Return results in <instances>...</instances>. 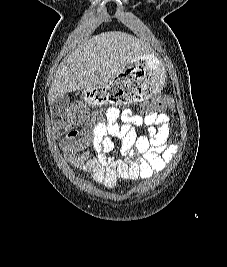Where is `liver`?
I'll return each mask as SVG.
<instances>
[{
  "instance_id": "liver-1",
  "label": "liver",
  "mask_w": 227,
  "mask_h": 267,
  "mask_svg": "<svg viewBox=\"0 0 227 267\" xmlns=\"http://www.w3.org/2000/svg\"><path fill=\"white\" fill-rule=\"evenodd\" d=\"M145 48L136 37L123 32L93 36L60 65L49 90L48 100L68 92L103 87Z\"/></svg>"
}]
</instances>
